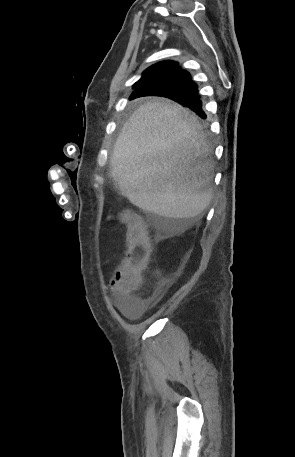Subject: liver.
<instances>
[{
	"instance_id": "obj_1",
	"label": "liver",
	"mask_w": 295,
	"mask_h": 457,
	"mask_svg": "<svg viewBox=\"0 0 295 457\" xmlns=\"http://www.w3.org/2000/svg\"><path fill=\"white\" fill-rule=\"evenodd\" d=\"M209 147L197 117L169 100L140 106L122 128L110 162L116 190L156 215L190 219L212 199Z\"/></svg>"
}]
</instances>
